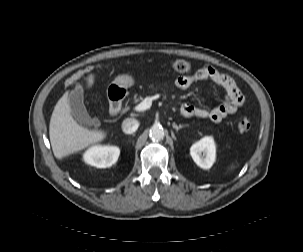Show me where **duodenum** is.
I'll return each instance as SVG.
<instances>
[{"instance_id": "1", "label": "duodenum", "mask_w": 303, "mask_h": 252, "mask_svg": "<svg viewBox=\"0 0 303 252\" xmlns=\"http://www.w3.org/2000/svg\"><path fill=\"white\" fill-rule=\"evenodd\" d=\"M125 95V90L121 87H116L110 95V115L116 116L120 110L122 105V100Z\"/></svg>"}]
</instances>
